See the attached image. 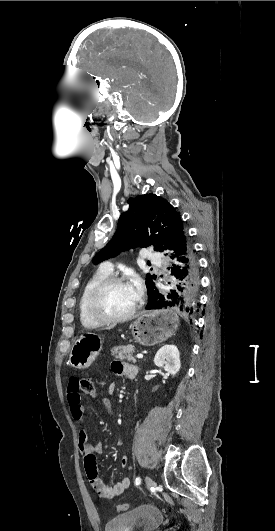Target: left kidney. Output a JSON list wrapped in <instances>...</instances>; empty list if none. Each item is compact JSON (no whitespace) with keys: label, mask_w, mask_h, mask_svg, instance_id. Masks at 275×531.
Returning <instances> with one entry per match:
<instances>
[{"label":"left kidney","mask_w":275,"mask_h":531,"mask_svg":"<svg viewBox=\"0 0 275 531\" xmlns=\"http://www.w3.org/2000/svg\"><path fill=\"white\" fill-rule=\"evenodd\" d=\"M156 367H163L164 371L176 375L180 371V353L175 345H164L154 357Z\"/></svg>","instance_id":"obj_1"}]
</instances>
